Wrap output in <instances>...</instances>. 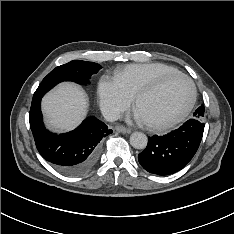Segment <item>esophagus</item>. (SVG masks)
Segmentation results:
<instances>
[{
    "label": "esophagus",
    "instance_id": "esophagus-1",
    "mask_svg": "<svg viewBox=\"0 0 234 234\" xmlns=\"http://www.w3.org/2000/svg\"><path fill=\"white\" fill-rule=\"evenodd\" d=\"M115 129H116L118 132L123 133V134H129V133H131V129L126 128V127L121 126V125L116 126Z\"/></svg>",
    "mask_w": 234,
    "mask_h": 234
}]
</instances>
